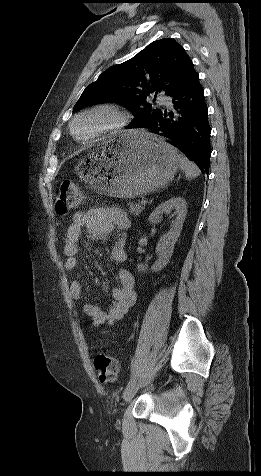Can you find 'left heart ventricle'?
<instances>
[{
	"label": "left heart ventricle",
	"instance_id": "left-heart-ventricle-1",
	"mask_svg": "<svg viewBox=\"0 0 261 476\" xmlns=\"http://www.w3.org/2000/svg\"><path fill=\"white\" fill-rule=\"evenodd\" d=\"M108 121L109 117L105 114L82 118L75 123V133L80 138H86L105 125Z\"/></svg>",
	"mask_w": 261,
	"mask_h": 476
}]
</instances>
